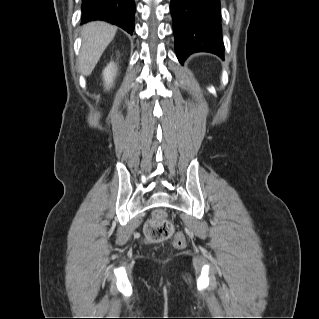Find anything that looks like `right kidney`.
I'll return each mask as SVG.
<instances>
[{"mask_svg":"<svg viewBox=\"0 0 319 319\" xmlns=\"http://www.w3.org/2000/svg\"><path fill=\"white\" fill-rule=\"evenodd\" d=\"M117 73V68L113 63H110L104 70L103 72V77L105 80V86L107 89H109L112 84H113V80L116 76Z\"/></svg>","mask_w":319,"mask_h":319,"instance_id":"ca27d5eb","label":"right kidney"}]
</instances>
